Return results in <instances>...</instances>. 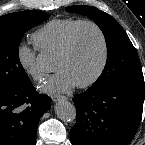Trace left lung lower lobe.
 Returning <instances> with one entry per match:
<instances>
[{
    "mask_svg": "<svg viewBox=\"0 0 145 145\" xmlns=\"http://www.w3.org/2000/svg\"><path fill=\"white\" fill-rule=\"evenodd\" d=\"M144 79L91 89L73 98L76 124L73 145H128L142 117Z\"/></svg>",
    "mask_w": 145,
    "mask_h": 145,
    "instance_id": "left-lung-lower-lobe-1",
    "label": "left lung lower lobe"
}]
</instances>
